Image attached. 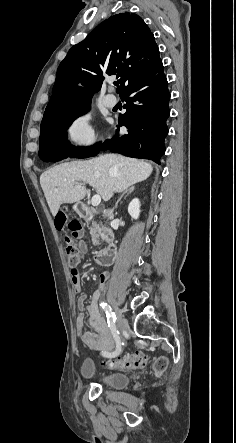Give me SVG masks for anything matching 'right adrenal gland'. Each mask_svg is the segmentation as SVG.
Instances as JSON below:
<instances>
[{
	"label": "right adrenal gland",
	"instance_id": "right-adrenal-gland-1",
	"mask_svg": "<svg viewBox=\"0 0 236 443\" xmlns=\"http://www.w3.org/2000/svg\"><path fill=\"white\" fill-rule=\"evenodd\" d=\"M133 191H134V186H132V187H130L128 190H126V191L120 196V198L118 199V201L116 202V204H115V208H117L119 202L121 201V199H122V197H123L124 195L128 196V195L131 194Z\"/></svg>",
	"mask_w": 236,
	"mask_h": 443
}]
</instances>
